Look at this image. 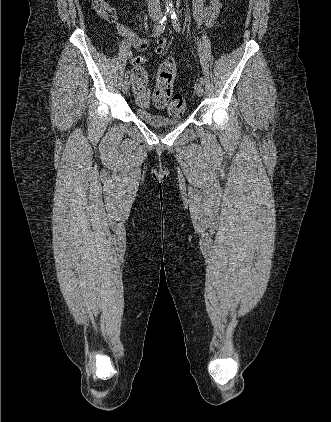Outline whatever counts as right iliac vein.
<instances>
[{
  "label": "right iliac vein",
  "instance_id": "obj_1",
  "mask_svg": "<svg viewBox=\"0 0 331 422\" xmlns=\"http://www.w3.org/2000/svg\"><path fill=\"white\" fill-rule=\"evenodd\" d=\"M152 19H153V21H156L157 20V17L152 16ZM129 89H130V81L129 80H125V82L122 85L123 93H125V94L128 93Z\"/></svg>",
  "mask_w": 331,
  "mask_h": 422
}]
</instances>
